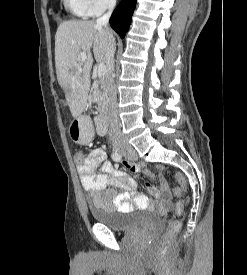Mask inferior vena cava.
<instances>
[{
	"instance_id": "1",
	"label": "inferior vena cava",
	"mask_w": 247,
	"mask_h": 275,
	"mask_svg": "<svg viewBox=\"0 0 247 275\" xmlns=\"http://www.w3.org/2000/svg\"><path fill=\"white\" fill-rule=\"evenodd\" d=\"M116 5V0H108V12L96 20L97 27L104 26L108 34V45L106 52V63L108 66V73L106 76V89L108 92V120L110 123L109 127V140L114 147L119 146L125 142V138L121 133L120 123L118 120L117 112V89L113 79L114 71V54H115V39L112 33L108 29V22L111 13Z\"/></svg>"
}]
</instances>
